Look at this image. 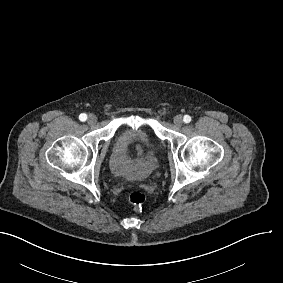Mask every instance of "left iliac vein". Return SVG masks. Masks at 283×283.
Returning a JSON list of instances; mask_svg holds the SVG:
<instances>
[{"label":"left iliac vein","instance_id":"left-iliac-vein-1","mask_svg":"<svg viewBox=\"0 0 283 283\" xmlns=\"http://www.w3.org/2000/svg\"><path fill=\"white\" fill-rule=\"evenodd\" d=\"M173 122L176 126H179V127L182 126V124H183L182 116L181 115L175 116L174 119H173Z\"/></svg>","mask_w":283,"mask_h":283}]
</instances>
